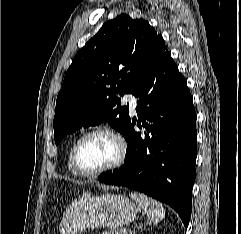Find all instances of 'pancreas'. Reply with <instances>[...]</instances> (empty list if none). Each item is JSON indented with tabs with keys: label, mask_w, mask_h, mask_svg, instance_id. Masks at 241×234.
Segmentation results:
<instances>
[{
	"label": "pancreas",
	"mask_w": 241,
	"mask_h": 234,
	"mask_svg": "<svg viewBox=\"0 0 241 234\" xmlns=\"http://www.w3.org/2000/svg\"><path fill=\"white\" fill-rule=\"evenodd\" d=\"M101 234H124L122 229H110L107 231H103Z\"/></svg>",
	"instance_id": "cf45deb5"
}]
</instances>
